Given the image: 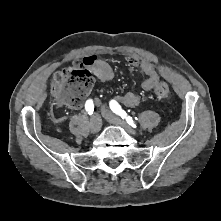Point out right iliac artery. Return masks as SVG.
Masks as SVG:
<instances>
[{
	"mask_svg": "<svg viewBox=\"0 0 221 221\" xmlns=\"http://www.w3.org/2000/svg\"><path fill=\"white\" fill-rule=\"evenodd\" d=\"M85 110L86 112L91 115L93 114V111H94V103L91 99L87 100L86 103H85Z\"/></svg>",
	"mask_w": 221,
	"mask_h": 221,
	"instance_id": "82829eb1",
	"label": "right iliac artery"
}]
</instances>
